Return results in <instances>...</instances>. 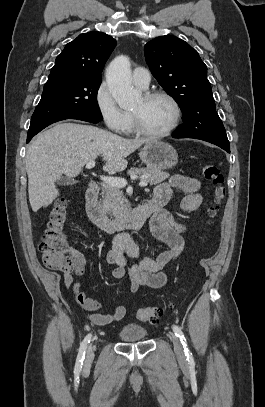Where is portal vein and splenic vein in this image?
<instances>
[{
	"instance_id": "1",
	"label": "portal vein and splenic vein",
	"mask_w": 265,
	"mask_h": 407,
	"mask_svg": "<svg viewBox=\"0 0 265 407\" xmlns=\"http://www.w3.org/2000/svg\"><path fill=\"white\" fill-rule=\"evenodd\" d=\"M95 166V161H89L86 164V169H92ZM100 179L106 183L109 184L113 187H125L127 185V180L124 178H117V177H112V176H100ZM148 185V182L146 180H141L139 183V186L141 187H146Z\"/></svg>"
}]
</instances>
